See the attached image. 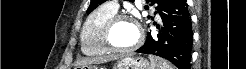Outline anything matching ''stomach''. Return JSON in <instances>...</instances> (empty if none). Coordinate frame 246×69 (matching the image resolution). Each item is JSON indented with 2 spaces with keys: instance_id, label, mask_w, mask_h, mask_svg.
Masks as SVG:
<instances>
[{
  "instance_id": "0dacf381",
  "label": "stomach",
  "mask_w": 246,
  "mask_h": 69,
  "mask_svg": "<svg viewBox=\"0 0 246 69\" xmlns=\"http://www.w3.org/2000/svg\"><path fill=\"white\" fill-rule=\"evenodd\" d=\"M75 69H99L93 64L81 65ZM113 69H151L149 63L143 57H125L117 61Z\"/></svg>"
}]
</instances>
